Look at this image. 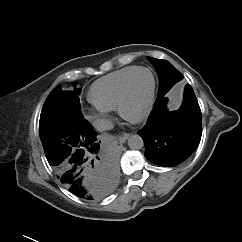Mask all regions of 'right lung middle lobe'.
Masks as SVG:
<instances>
[{
  "label": "right lung middle lobe",
  "mask_w": 242,
  "mask_h": 242,
  "mask_svg": "<svg viewBox=\"0 0 242 242\" xmlns=\"http://www.w3.org/2000/svg\"><path fill=\"white\" fill-rule=\"evenodd\" d=\"M76 86V83H73ZM81 89L65 92L57 86L46 99L40 115L39 134L45 149L49 142L73 131L90 127L81 113L79 94Z\"/></svg>",
  "instance_id": "1"
}]
</instances>
